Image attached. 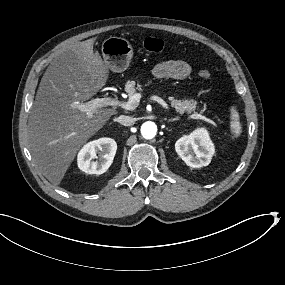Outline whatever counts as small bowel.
<instances>
[{"mask_svg": "<svg viewBox=\"0 0 285 285\" xmlns=\"http://www.w3.org/2000/svg\"><path fill=\"white\" fill-rule=\"evenodd\" d=\"M190 66L181 60H166L153 69L156 78H172L183 80L190 75Z\"/></svg>", "mask_w": 285, "mask_h": 285, "instance_id": "obj_1", "label": "small bowel"}]
</instances>
